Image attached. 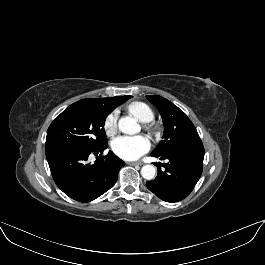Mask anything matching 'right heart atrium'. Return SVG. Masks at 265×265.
I'll return each instance as SVG.
<instances>
[{
  "label": "right heart atrium",
  "instance_id": "d8ad5b80",
  "mask_svg": "<svg viewBox=\"0 0 265 265\" xmlns=\"http://www.w3.org/2000/svg\"><path fill=\"white\" fill-rule=\"evenodd\" d=\"M104 131L107 136H113L117 131V111H111L104 120Z\"/></svg>",
  "mask_w": 265,
  "mask_h": 265
}]
</instances>
